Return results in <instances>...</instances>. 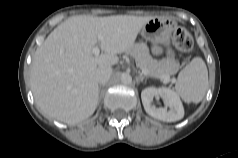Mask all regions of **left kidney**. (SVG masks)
<instances>
[{
	"instance_id": "obj_1",
	"label": "left kidney",
	"mask_w": 238,
	"mask_h": 158,
	"mask_svg": "<svg viewBox=\"0 0 238 158\" xmlns=\"http://www.w3.org/2000/svg\"><path fill=\"white\" fill-rule=\"evenodd\" d=\"M154 97H161L165 102V107L157 108L153 104ZM141 99L145 111L158 120L175 122L184 117V108L179 96L169 88L147 87L142 90Z\"/></svg>"
}]
</instances>
